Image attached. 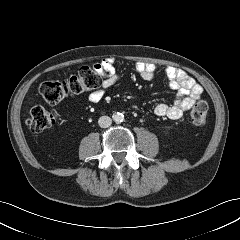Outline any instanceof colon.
Here are the masks:
<instances>
[{
  "instance_id": "5ec220e1",
  "label": "colon",
  "mask_w": 240,
  "mask_h": 240,
  "mask_svg": "<svg viewBox=\"0 0 240 240\" xmlns=\"http://www.w3.org/2000/svg\"><path fill=\"white\" fill-rule=\"evenodd\" d=\"M99 75L91 67H82L77 74L63 80H46L40 84L39 92L43 99L56 104L69 95H78L98 88ZM207 116V104L198 101L190 111V121L194 127L204 125ZM58 122V116L45 109L35 106L30 113L28 126L34 133H40L53 127Z\"/></svg>"
}]
</instances>
